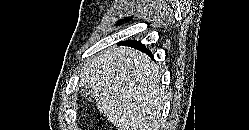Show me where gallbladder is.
<instances>
[{"label": "gallbladder", "mask_w": 249, "mask_h": 130, "mask_svg": "<svg viewBox=\"0 0 249 130\" xmlns=\"http://www.w3.org/2000/svg\"><path fill=\"white\" fill-rule=\"evenodd\" d=\"M81 95L89 102H93L95 100V91L89 85L83 86L81 89Z\"/></svg>", "instance_id": "bac80fb5"}]
</instances>
